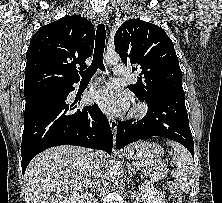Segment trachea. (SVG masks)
<instances>
[{
  "instance_id": "obj_1",
  "label": "trachea",
  "mask_w": 222,
  "mask_h": 203,
  "mask_svg": "<svg viewBox=\"0 0 222 203\" xmlns=\"http://www.w3.org/2000/svg\"><path fill=\"white\" fill-rule=\"evenodd\" d=\"M105 39H106L105 25L101 23L97 26V30H96L95 50H94V55H93V61L90 67H88V69L80 72L82 80H90L92 76L95 74V72L97 71V69L105 71V67L103 64Z\"/></svg>"
}]
</instances>
